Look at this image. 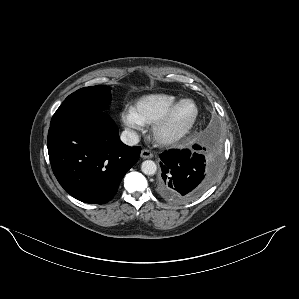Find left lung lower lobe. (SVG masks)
Instances as JSON below:
<instances>
[{
  "mask_svg": "<svg viewBox=\"0 0 299 299\" xmlns=\"http://www.w3.org/2000/svg\"><path fill=\"white\" fill-rule=\"evenodd\" d=\"M161 176L157 191L174 203H185L202 194L213 182L220 163V147L171 149L160 155Z\"/></svg>",
  "mask_w": 299,
  "mask_h": 299,
  "instance_id": "0a47b994",
  "label": "left lung lower lobe"
}]
</instances>
